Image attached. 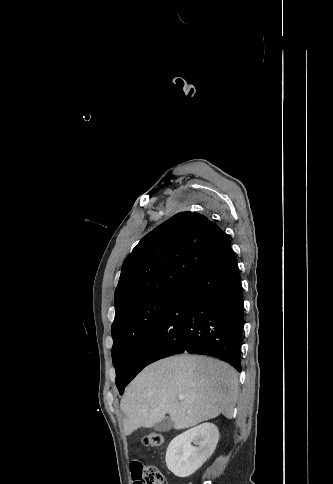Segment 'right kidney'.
<instances>
[{"instance_id": "obj_1", "label": "right kidney", "mask_w": 333, "mask_h": 484, "mask_svg": "<svg viewBox=\"0 0 333 484\" xmlns=\"http://www.w3.org/2000/svg\"><path fill=\"white\" fill-rule=\"evenodd\" d=\"M218 440V428L212 423H203L178 435L166 451L168 469L178 477H189L209 459Z\"/></svg>"}]
</instances>
